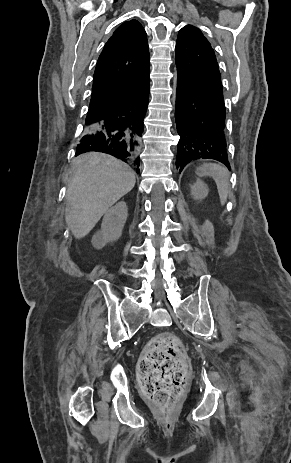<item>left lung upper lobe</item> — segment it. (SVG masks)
<instances>
[{"mask_svg":"<svg viewBox=\"0 0 291 463\" xmlns=\"http://www.w3.org/2000/svg\"><path fill=\"white\" fill-rule=\"evenodd\" d=\"M175 62L178 76L223 95L214 50L198 28L187 25L179 31Z\"/></svg>","mask_w":291,"mask_h":463,"instance_id":"1","label":"left lung upper lobe"}]
</instances>
